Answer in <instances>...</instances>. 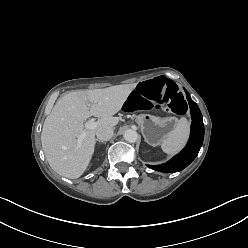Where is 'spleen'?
<instances>
[{
  "label": "spleen",
  "mask_w": 248,
  "mask_h": 248,
  "mask_svg": "<svg viewBox=\"0 0 248 248\" xmlns=\"http://www.w3.org/2000/svg\"><path fill=\"white\" fill-rule=\"evenodd\" d=\"M189 137V122L186 118H181L162 142L161 148L167 154L178 153L186 144Z\"/></svg>",
  "instance_id": "obj_1"
}]
</instances>
